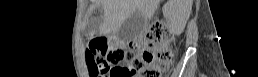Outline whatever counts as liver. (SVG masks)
I'll list each match as a JSON object with an SVG mask.
<instances>
[{"mask_svg":"<svg viewBox=\"0 0 258 77\" xmlns=\"http://www.w3.org/2000/svg\"><path fill=\"white\" fill-rule=\"evenodd\" d=\"M159 3L160 0H103L104 22L102 31L105 33L117 31L123 22L136 11H139L145 19H150L154 16ZM192 4L193 0H169L166 8L169 12L174 9L179 20L185 25ZM165 16L169 20L170 13L165 11Z\"/></svg>","mask_w":258,"mask_h":77,"instance_id":"6515ba94","label":"liver"}]
</instances>
